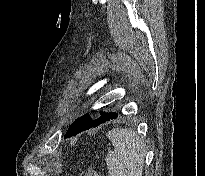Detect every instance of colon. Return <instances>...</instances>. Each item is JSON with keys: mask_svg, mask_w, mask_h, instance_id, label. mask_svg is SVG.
Masks as SVG:
<instances>
[{"mask_svg": "<svg viewBox=\"0 0 205 176\" xmlns=\"http://www.w3.org/2000/svg\"><path fill=\"white\" fill-rule=\"evenodd\" d=\"M85 176H99V175L95 170L89 169Z\"/></svg>", "mask_w": 205, "mask_h": 176, "instance_id": "obj_1", "label": "colon"}]
</instances>
